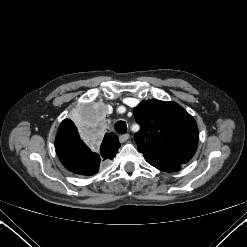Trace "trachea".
<instances>
[{
  "mask_svg": "<svg viewBox=\"0 0 247 247\" xmlns=\"http://www.w3.org/2000/svg\"><path fill=\"white\" fill-rule=\"evenodd\" d=\"M114 127L115 131L119 134H125L127 132V125L124 121H117Z\"/></svg>",
  "mask_w": 247,
  "mask_h": 247,
  "instance_id": "3493384b",
  "label": "trachea"
}]
</instances>
